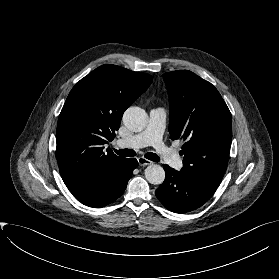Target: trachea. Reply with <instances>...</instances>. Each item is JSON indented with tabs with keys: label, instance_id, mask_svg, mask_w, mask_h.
<instances>
[{
	"label": "trachea",
	"instance_id": "obj_1",
	"mask_svg": "<svg viewBox=\"0 0 279 279\" xmlns=\"http://www.w3.org/2000/svg\"><path fill=\"white\" fill-rule=\"evenodd\" d=\"M114 151L118 155L124 156V157H134L136 155V152L132 149H120V150L114 149ZM144 157L147 158L148 160H151V161H154V162L160 161L159 156L155 153H152V152L146 153Z\"/></svg>",
	"mask_w": 279,
	"mask_h": 279
}]
</instances>
